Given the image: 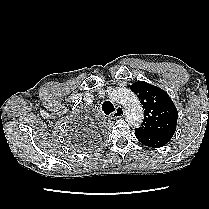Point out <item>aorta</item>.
<instances>
[{"label": "aorta", "mask_w": 209, "mask_h": 209, "mask_svg": "<svg viewBox=\"0 0 209 209\" xmlns=\"http://www.w3.org/2000/svg\"><path fill=\"white\" fill-rule=\"evenodd\" d=\"M110 97L116 103L125 108L126 121L132 127L139 126L144 118L143 108L138 97L127 88H117L110 93Z\"/></svg>", "instance_id": "obj_1"}]
</instances>
